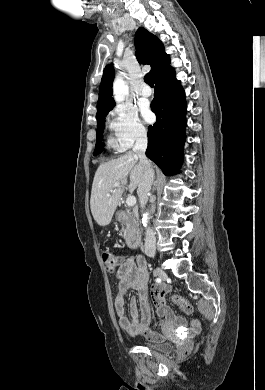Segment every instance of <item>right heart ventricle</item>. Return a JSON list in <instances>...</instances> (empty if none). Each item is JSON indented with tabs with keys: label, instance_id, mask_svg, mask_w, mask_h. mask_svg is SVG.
Wrapping results in <instances>:
<instances>
[{
	"label": "right heart ventricle",
	"instance_id": "1",
	"mask_svg": "<svg viewBox=\"0 0 265 390\" xmlns=\"http://www.w3.org/2000/svg\"><path fill=\"white\" fill-rule=\"evenodd\" d=\"M109 144H113V141H112V140H109Z\"/></svg>",
	"mask_w": 265,
	"mask_h": 390
}]
</instances>
